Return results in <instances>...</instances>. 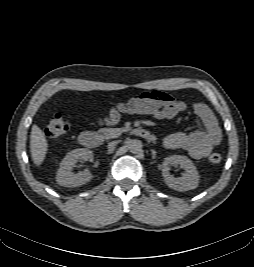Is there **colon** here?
Masks as SVG:
<instances>
[{
	"label": "colon",
	"instance_id": "obj_1",
	"mask_svg": "<svg viewBox=\"0 0 254 267\" xmlns=\"http://www.w3.org/2000/svg\"><path fill=\"white\" fill-rule=\"evenodd\" d=\"M69 129V121H67L62 114L56 113L51 117L45 129V134L49 138H57L67 133ZM221 161L222 157L219 153H212L208 157L209 164L214 167L218 166Z\"/></svg>",
	"mask_w": 254,
	"mask_h": 267
}]
</instances>
